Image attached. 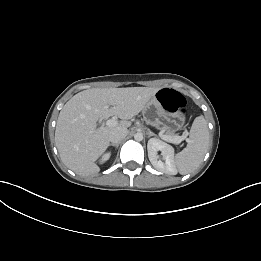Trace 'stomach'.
I'll return each instance as SVG.
<instances>
[{"mask_svg": "<svg viewBox=\"0 0 261 261\" xmlns=\"http://www.w3.org/2000/svg\"><path fill=\"white\" fill-rule=\"evenodd\" d=\"M146 122L154 127L161 128L168 133L179 130L184 124V117L166 112L154 95L143 109Z\"/></svg>", "mask_w": 261, "mask_h": 261, "instance_id": "1", "label": "stomach"}]
</instances>
